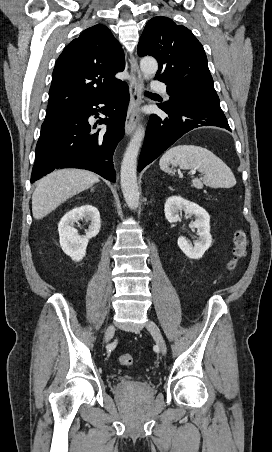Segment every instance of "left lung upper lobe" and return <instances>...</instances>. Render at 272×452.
Returning <instances> with one entry per match:
<instances>
[{
    "label": "left lung upper lobe",
    "instance_id": "left-lung-upper-lobe-1",
    "mask_svg": "<svg viewBox=\"0 0 272 452\" xmlns=\"http://www.w3.org/2000/svg\"><path fill=\"white\" fill-rule=\"evenodd\" d=\"M138 55L158 61L155 78L167 85L171 96L166 103L192 96L219 101L203 46L188 28L167 17L152 18L139 40Z\"/></svg>",
    "mask_w": 272,
    "mask_h": 452
}]
</instances>
